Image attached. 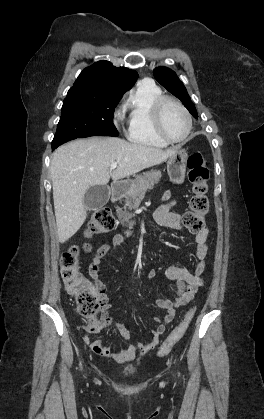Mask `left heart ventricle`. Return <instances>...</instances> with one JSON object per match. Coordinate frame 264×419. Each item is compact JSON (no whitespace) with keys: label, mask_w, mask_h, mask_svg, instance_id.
<instances>
[{"label":"left heart ventricle","mask_w":264,"mask_h":419,"mask_svg":"<svg viewBox=\"0 0 264 419\" xmlns=\"http://www.w3.org/2000/svg\"><path fill=\"white\" fill-rule=\"evenodd\" d=\"M163 127L172 138H182L187 130V120L184 113L174 103L168 102L163 109Z\"/></svg>","instance_id":"obj_1"}]
</instances>
